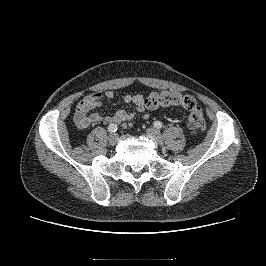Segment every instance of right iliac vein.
<instances>
[{"mask_svg": "<svg viewBox=\"0 0 266 266\" xmlns=\"http://www.w3.org/2000/svg\"><path fill=\"white\" fill-rule=\"evenodd\" d=\"M118 139H119L118 135L114 133L109 135L108 142L110 145H115L118 142Z\"/></svg>", "mask_w": 266, "mask_h": 266, "instance_id": "right-iliac-vein-1", "label": "right iliac vein"}]
</instances>
